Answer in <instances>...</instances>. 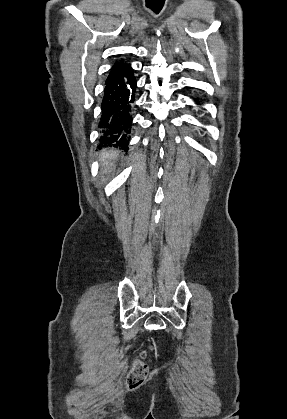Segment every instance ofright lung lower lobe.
<instances>
[{"label":"right lung lower lobe","instance_id":"98d812e1","mask_svg":"<svg viewBox=\"0 0 287 419\" xmlns=\"http://www.w3.org/2000/svg\"><path fill=\"white\" fill-rule=\"evenodd\" d=\"M135 89L136 79L131 67L106 80L99 122L100 146H113L127 151Z\"/></svg>","mask_w":287,"mask_h":419}]
</instances>
